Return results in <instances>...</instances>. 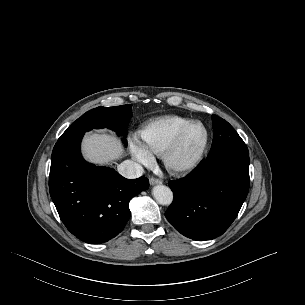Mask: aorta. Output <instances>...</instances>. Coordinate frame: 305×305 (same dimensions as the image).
Masks as SVG:
<instances>
[{
	"label": "aorta",
	"mask_w": 305,
	"mask_h": 305,
	"mask_svg": "<svg viewBox=\"0 0 305 305\" xmlns=\"http://www.w3.org/2000/svg\"><path fill=\"white\" fill-rule=\"evenodd\" d=\"M152 194L155 199L162 205H170L173 201L171 189L164 185H157L153 188Z\"/></svg>",
	"instance_id": "1"
}]
</instances>
